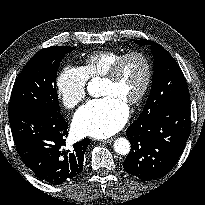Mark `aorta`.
Instances as JSON below:
<instances>
[{
  "mask_svg": "<svg viewBox=\"0 0 205 205\" xmlns=\"http://www.w3.org/2000/svg\"><path fill=\"white\" fill-rule=\"evenodd\" d=\"M89 93L93 94L91 87L88 88ZM130 142L125 138H117L114 142V150L119 155H127L130 152Z\"/></svg>",
  "mask_w": 205,
  "mask_h": 205,
  "instance_id": "762f6f07",
  "label": "aorta"
}]
</instances>
